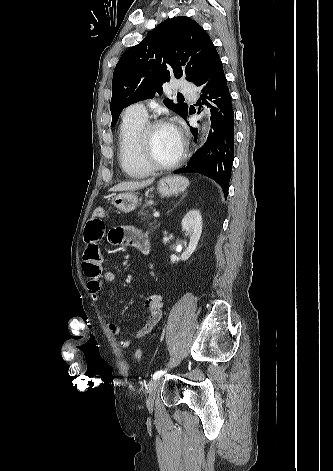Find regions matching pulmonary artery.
Masks as SVG:
<instances>
[{
	"instance_id": "e3ab8cb5",
	"label": "pulmonary artery",
	"mask_w": 333,
	"mask_h": 471,
	"mask_svg": "<svg viewBox=\"0 0 333 471\" xmlns=\"http://www.w3.org/2000/svg\"><path fill=\"white\" fill-rule=\"evenodd\" d=\"M177 89L184 95L195 97L196 91L195 88L188 82L179 80L177 82ZM125 115L137 117L141 119H147V111L143 103H135L130 105L125 110Z\"/></svg>"
}]
</instances>
